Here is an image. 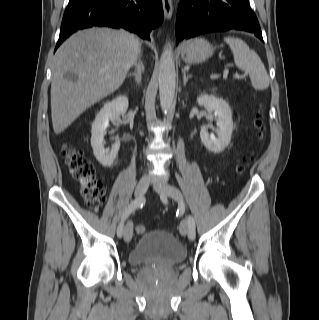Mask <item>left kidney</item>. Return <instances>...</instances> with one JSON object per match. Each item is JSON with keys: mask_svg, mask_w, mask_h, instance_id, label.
I'll use <instances>...</instances> for the list:
<instances>
[{"mask_svg": "<svg viewBox=\"0 0 319 320\" xmlns=\"http://www.w3.org/2000/svg\"><path fill=\"white\" fill-rule=\"evenodd\" d=\"M199 106H203L209 120H216V134L208 133L206 128L200 131V138L204 146L213 153L222 152L231 141L233 132L232 112L228 103L215 95L201 94L197 98Z\"/></svg>", "mask_w": 319, "mask_h": 320, "instance_id": "5707ae66", "label": "left kidney"}]
</instances>
